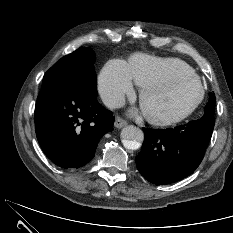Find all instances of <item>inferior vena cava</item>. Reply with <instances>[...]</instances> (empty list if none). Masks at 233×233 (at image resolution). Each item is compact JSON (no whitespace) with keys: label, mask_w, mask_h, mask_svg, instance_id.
Segmentation results:
<instances>
[{"label":"inferior vena cava","mask_w":233,"mask_h":233,"mask_svg":"<svg viewBox=\"0 0 233 233\" xmlns=\"http://www.w3.org/2000/svg\"><path fill=\"white\" fill-rule=\"evenodd\" d=\"M101 99L104 105L110 109L120 108L125 104L124 95L121 93H105Z\"/></svg>","instance_id":"obj_1"}]
</instances>
